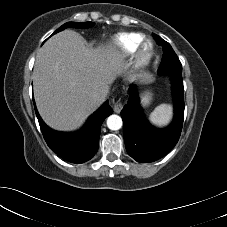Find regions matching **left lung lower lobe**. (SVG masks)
<instances>
[{
    "label": "left lung lower lobe",
    "instance_id": "0a47b994",
    "mask_svg": "<svg viewBox=\"0 0 227 227\" xmlns=\"http://www.w3.org/2000/svg\"><path fill=\"white\" fill-rule=\"evenodd\" d=\"M164 72L171 76L174 101V118L168 127L157 129L147 121L135 85L130 86L128 103L121 111L127 153L140 163L153 162L168 154L181 134L185 108L182 73Z\"/></svg>",
    "mask_w": 227,
    "mask_h": 227
}]
</instances>
